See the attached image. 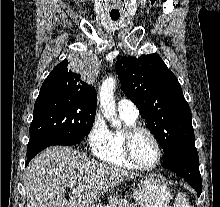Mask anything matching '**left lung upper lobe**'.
I'll return each instance as SVG.
<instances>
[{"label":"left lung upper lobe","mask_w":220,"mask_h":207,"mask_svg":"<svg viewBox=\"0 0 220 207\" xmlns=\"http://www.w3.org/2000/svg\"><path fill=\"white\" fill-rule=\"evenodd\" d=\"M124 94L131 99L165 153L195 142L192 115L176 76L157 54L116 62Z\"/></svg>","instance_id":"left-lung-upper-lobe-1"}]
</instances>
